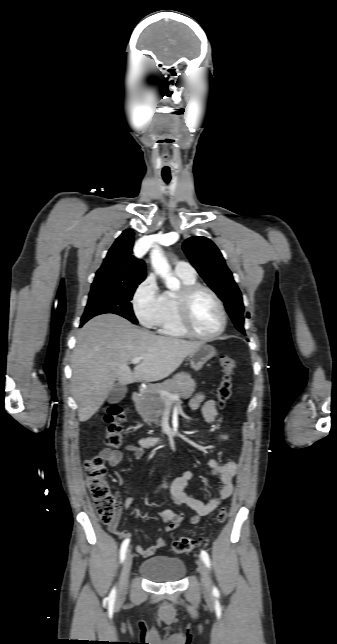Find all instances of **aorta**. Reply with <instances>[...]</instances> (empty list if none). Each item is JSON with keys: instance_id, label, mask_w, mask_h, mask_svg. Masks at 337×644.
Instances as JSON below:
<instances>
[{"instance_id": "762f6f07", "label": "aorta", "mask_w": 337, "mask_h": 644, "mask_svg": "<svg viewBox=\"0 0 337 644\" xmlns=\"http://www.w3.org/2000/svg\"><path fill=\"white\" fill-rule=\"evenodd\" d=\"M150 259L153 269L165 281L166 287L172 291L178 290L180 282L176 277L172 276L170 265L159 246H154L150 253Z\"/></svg>"}]
</instances>
